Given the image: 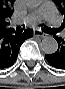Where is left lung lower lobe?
Listing matches in <instances>:
<instances>
[{
    "label": "left lung lower lobe",
    "mask_w": 65,
    "mask_h": 89,
    "mask_svg": "<svg viewBox=\"0 0 65 89\" xmlns=\"http://www.w3.org/2000/svg\"><path fill=\"white\" fill-rule=\"evenodd\" d=\"M58 42V50L54 54H47L45 58L54 67L65 69V39L54 36Z\"/></svg>",
    "instance_id": "left-lung-lower-lobe-1"
}]
</instances>
